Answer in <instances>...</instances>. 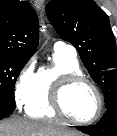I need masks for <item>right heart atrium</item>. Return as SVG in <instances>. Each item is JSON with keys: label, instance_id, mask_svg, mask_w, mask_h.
I'll return each mask as SVG.
<instances>
[{"label": "right heart atrium", "instance_id": "d8ad5b80", "mask_svg": "<svg viewBox=\"0 0 117 136\" xmlns=\"http://www.w3.org/2000/svg\"><path fill=\"white\" fill-rule=\"evenodd\" d=\"M37 76L35 58H31L19 71L14 83V101L18 108L26 107L35 95Z\"/></svg>", "mask_w": 117, "mask_h": 136}]
</instances>
